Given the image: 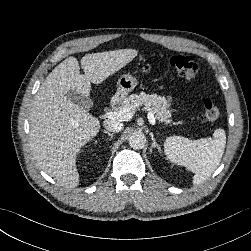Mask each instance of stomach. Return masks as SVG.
<instances>
[{"instance_id": "1", "label": "stomach", "mask_w": 251, "mask_h": 251, "mask_svg": "<svg viewBox=\"0 0 251 251\" xmlns=\"http://www.w3.org/2000/svg\"><path fill=\"white\" fill-rule=\"evenodd\" d=\"M151 64H144L142 66V71L143 72H147L148 70L151 69ZM138 81L135 77H133L132 75H123L118 79L117 85H118V89L116 92V96L119 98H125L128 93H130L131 91H133V89L137 86Z\"/></svg>"}]
</instances>
